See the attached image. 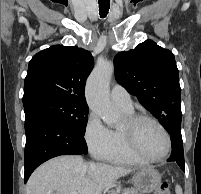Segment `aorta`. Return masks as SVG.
Here are the masks:
<instances>
[{
	"label": "aorta",
	"mask_w": 201,
	"mask_h": 194,
	"mask_svg": "<svg viewBox=\"0 0 201 194\" xmlns=\"http://www.w3.org/2000/svg\"><path fill=\"white\" fill-rule=\"evenodd\" d=\"M113 72L114 65L111 61L99 60L86 83L89 108L109 126L116 125L120 118L109 99V84Z\"/></svg>",
	"instance_id": "1"
}]
</instances>
